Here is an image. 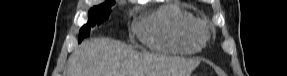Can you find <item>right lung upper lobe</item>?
Masks as SVG:
<instances>
[{"label": "right lung upper lobe", "mask_w": 287, "mask_h": 76, "mask_svg": "<svg viewBox=\"0 0 287 76\" xmlns=\"http://www.w3.org/2000/svg\"><path fill=\"white\" fill-rule=\"evenodd\" d=\"M105 3H115L113 0H107Z\"/></svg>", "instance_id": "right-lung-upper-lobe-1"}]
</instances>
